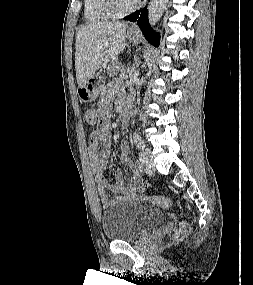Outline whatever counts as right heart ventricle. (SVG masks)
Segmentation results:
<instances>
[{"label": "right heart ventricle", "mask_w": 253, "mask_h": 285, "mask_svg": "<svg viewBox=\"0 0 253 285\" xmlns=\"http://www.w3.org/2000/svg\"><path fill=\"white\" fill-rule=\"evenodd\" d=\"M113 17L104 7L102 0H84V18L87 22L97 23Z\"/></svg>", "instance_id": "right-heart-ventricle-1"}]
</instances>
